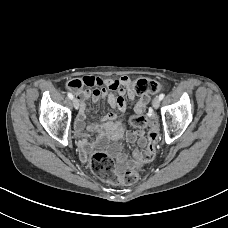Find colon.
I'll return each mask as SVG.
<instances>
[{"label":"colon","instance_id":"colon-1","mask_svg":"<svg viewBox=\"0 0 228 228\" xmlns=\"http://www.w3.org/2000/svg\"><path fill=\"white\" fill-rule=\"evenodd\" d=\"M134 89L138 95H147L157 93L161 86L157 81L140 78L133 82ZM68 88L78 92L82 90L83 83L81 80H72L67 84ZM130 123L134 127L148 128L146 144L142 151L134 153V157L139 162H149L156 154V146L159 140V131L157 124L143 114L133 115ZM90 167L92 171L102 180L119 185H133L140 178V173L136 168H131L123 174H118L115 169L114 161L108 156L107 153L102 151H95L90 160Z\"/></svg>","mask_w":228,"mask_h":228}]
</instances>
